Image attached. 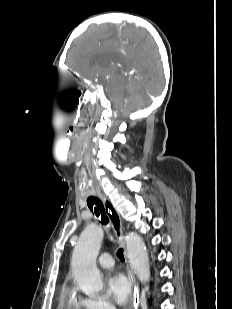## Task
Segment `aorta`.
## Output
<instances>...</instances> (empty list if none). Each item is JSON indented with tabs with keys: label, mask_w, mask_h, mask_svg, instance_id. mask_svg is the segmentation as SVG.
<instances>
[{
	"label": "aorta",
	"mask_w": 232,
	"mask_h": 309,
	"mask_svg": "<svg viewBox=\"0 0 232 309\" xmlns=\"http://www.w3.org/2000/svg\"><path fill=\"white\" fill-rule=\"evenodd\" d=\"M102 240V229L96 224H89L81 233L72 254L73 279L89 296H95L103 289V280L96 265ZM126 246L132 270L142 283L149 282V256L143 239L136 233H129Z\"/></svg>",
	"instance_id": "aorta-1"
}]
</instances>
